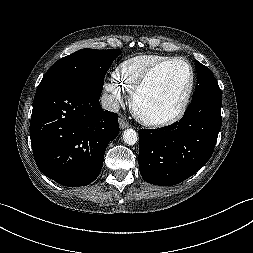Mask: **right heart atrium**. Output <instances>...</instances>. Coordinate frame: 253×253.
<instances>
[{"instance_id": "d8ad5b80", "label": "right heart atrium", "mask_w": 253, "mask_h": 253, "mask_svg": "<svg viewBox=\"0 0 253 253\" xmlns=\"http://www.w3.org/2000/svg\"><path fill=\"white\" fill-rule=\"evenodd\" d=\"M104 89L111 95L112 100L116 105L123 103L124 96L121 90L114 83L106 82L104 84Z\"/></svg>"}]
</instances>
